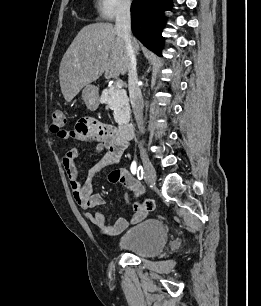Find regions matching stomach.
Listing matches in <instances>:
<instances>
[{
	"label": "stomach",
	"instance_id": "obj_1",
	"mask_svg": "<svg viewBox=\"0 0 261 306\" xmlns=\"http://www.w3.org/2000/svg\"><path fill=\"white\" fill-rule=\"evenodd\" d=\"M82 99L89 110H96L99 106L98 88L94 85H86L82 90Z\"/></svg>",
	"mask_w": 261,
	"mask_h": 306
}]
</instances>
